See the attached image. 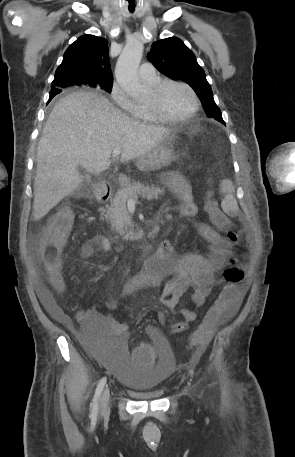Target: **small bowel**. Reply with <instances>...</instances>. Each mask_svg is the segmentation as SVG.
Here are the masks:
<instances>
[{
  "instance_id": "c3829d8e",
  "label": "small bowel",
  "mask_w": 295,
  "mask_h": 457,
  "mask_svg": "<svg viewBox=\"0 0 295 457\" xmlns=\"http://www.w3.org/2000/svg\"><path fill=\"white\" fill-rule=\"evenodd\" d=\"M163 183L180 201L177 207L178 215L186 218L194 217L197 214V206L188 182L178 175L170 174ZM170 210V207H165L161 214L162 217H169ZM197 230L208 243L207 254L190 251L178 252L170 240L162 241L157 253L147 259L144 270L124 285L122 298H127L142 286H149L161 289L160 301L169 308H174L188 290L192 291L190 301L195 307L204 305L216 284L215 274L226 266L233 254L232 247L235 242L223 237L216 229L205 223L197 224ZM94 244L104 252H109L111 249L110 242L104 235L98 236ZM93 251V244H87L84 246L82 254L84 257H89ZM38 295L42 304L52 315L60 320H66L67 317L43 285L38 287ZM240 299L241 296L234 310L238 307ZM111 306L116 308L117 303L113 302ZM181 313L184 319L172 324L173 333L186 331L189 324L197 319V312L192 308L184 307ZM158 319L160 322H164V314L159 313ZM78 321L88 334H93L92 338H95L94 334L98 332L123 335L127 331L126 324L100 313L96 308L80 312ZM146 331L156 346L166 345L162 342L161 333L157 327L147 326ZM201 352L202 348L198 349L197 356Z\"/></svg>"
}]
</instances>
